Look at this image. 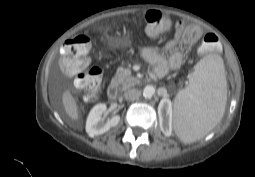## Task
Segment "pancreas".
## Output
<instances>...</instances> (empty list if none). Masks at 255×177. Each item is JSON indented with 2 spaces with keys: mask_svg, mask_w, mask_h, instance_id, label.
<instances>
[{
  "mask_svg": "<svg viewBox=\"0 0 255 177\" xmlns=\"http://www.w3.org/2000/svg\"><path fill=\"white\" fill-rule=\"evenodd\" d=\"M137 83H139V80L131 76L130 71L128 70H121L117 72L111 80V85L121 91L135 86Z\"/></svg>",
  "mask_w": 255,
  "mask_h": 177,
  "instance_id": "pancreas-1",
  "label": "pancreas"
}]
</instances>
